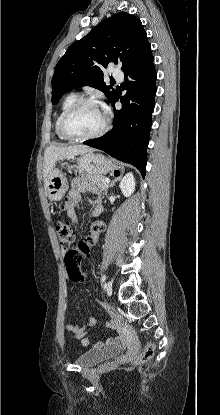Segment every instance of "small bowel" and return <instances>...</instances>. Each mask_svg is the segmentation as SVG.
I'll list each match as a JSON object with an SVG mask.
<instances>
[{"mask_svg": "<svg viewBox=\"0 0 220 415\" xmlns=\"http://www.w3.org/2000/svg\"><path fill=\"white\" fill-rule=\"evenodd\" d=\"M90 190L95 191L85 182L78 180L73 183L72 190L67 195V199H66L67 214L75 223L78 222L77 209L81 204V195ZM90 206H91V214L93 216H98L103 211V205L99 198H95L91 200ZM103 230H104V224L100 221H97L91 225L90 230L84 239V241L89 245L90 248L96 244L97 239L99 235L103 232ZM95 323L96 321L94 318H88L84 326H79L73 323H69L66 325V329L72 334H74L75 337L81 341V344L84 347H92L94 349H101V348L116 345L117 339H107L105 341H96L87 336L86 327L94 326Z\"/></svg>", "mask_w": 220, "mask_h": 415, "instance_id": "obj_1", "label": "small bowel"}]
</instances>
